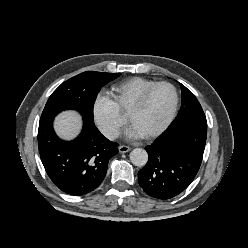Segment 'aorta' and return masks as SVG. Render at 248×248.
Returning <instances> with one entry per match:
<instances>
[{
  "instance_id": "1",
  "label": "aorta",
  "mask_w": 248,
  "mask_h": 248,
  "mask_svg": "<svg viewBox=\"0 0 248 248\" xmlns=\"http://www.w3.org/2000/svg\"><path fill=\"white\" fill-rule=\"evenodd\" d=\"M130 160L135 166H144L148 161V154L142 148H135L130 152Z\"/></svg>"
}]
</instances>
